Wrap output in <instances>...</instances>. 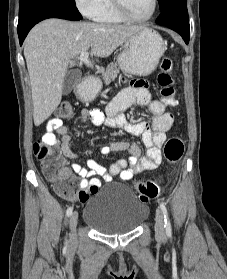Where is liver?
I'll return each mask as SVG.
<instances>
[{"instance_id": "obj_1", "label": "liver", "mask_w": 227, "mask_h": 279, "mask_svg": "<svg viewBox=\"0 0 227 279\" xmlns=\"http://www.w3.org/2000/svg\"><path fill=\"white\" fill-rule=\"evenodd\" d=\"M141 28L54 18L33 27L24 42V57L35 126L48 119L60 104L67 67L75 65L76 57L91 49L92 56L106 58Z\"/></svg>"}]
</instances>
